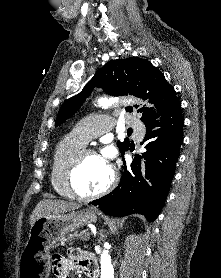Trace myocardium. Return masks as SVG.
Listing matches in <instances>:
<instances>
[{
  "label": "myocardium",
  "mask_w": 221,
  "mask_h": 278,
  "mask_svg": "<svg viewBox=\"0 0 221 278\" xmlns=\"http://www.w3.org/2000/svg\"><path fill=\"white\" fill-rule=\"evenodd\" d=\"M98 154L93 148H81L71 159L66 170V184L71 195L79 200H91L103 196L111 191L118 182V172L116 167L109 163L111 176L110 180L105 187L93 193H83L77 185V173L82 161L89 155Z\"/></svg>",
  "instance_id": "myocardium-1"
}]
</instances>
